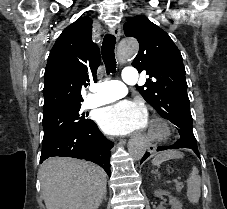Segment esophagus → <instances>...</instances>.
<instances>
[{"label": "esophagus", "instance_id": "esophagus-1", "mask_svg": "<svg viewBox=\"0 0 227 209\" xmlns=\"http://www.w3.org/2000/svg\"><path fill=\"white\" fill-rule=\"evenodd\" d=\"M113 33H114V35H115V37H116V39L117 40H119V38H120V35H121V28H120V25H116L115 27H114V29H113ZM148 153L149 154H154L155 153V144H148Z\"/></svg>", "mask_w": 227, "mask_h": 209}]
</instances>
